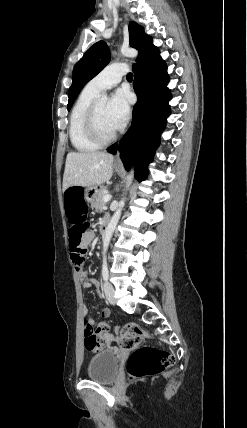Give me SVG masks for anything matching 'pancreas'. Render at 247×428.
<instances>
[{
	"label": "pancreas",
	"mask_w": 247,
	"mask_h": 428,
	"mask_svg": "<svg viewBox=\"0 0 247 428\" xmlns=\"http://www.w3.org/2000/svg\"><path fill=\"white\" fill-rule=\"evenodd\" d=\"M107 194H108L107 187L105 186L100 187V189L97 192L95 202L92 204V206L95 207L96 211L98 212L103 211L106 205V203L103 201V197Z\"/></svg>",
	"instance_id": "obj_1"
}]
</instances>
